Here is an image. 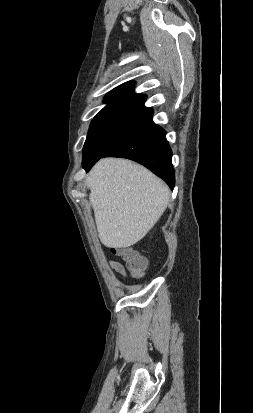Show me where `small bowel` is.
<instances>
[{
	"mask_svg": "<svg viewBox=\"0 0 253 413\" xmlns=\"http://www.w3.org/2000/svg\"><path fill=\"white\" fill-rule=\"evenodd\" d=\"M108 263L112 270H114L120 276L124 277L126 275L125 269L121 263L113 260H109Z\"/></svg>",
	"mask_w": 253,
	"mask_h": 413,
	"instance_id": "1",
	"label": "small bowel"
}]
</instances>
